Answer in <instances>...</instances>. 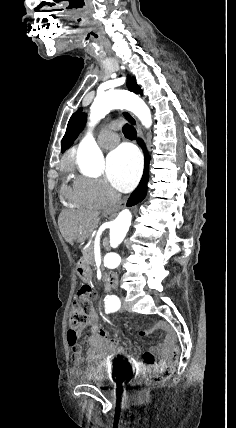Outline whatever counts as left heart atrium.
Wrapping results in <instances>:
<instances>
[{
  "label": "left heart atrium",
  "instance_id": "39dd6f15",
  "mask_svg": "<svg viewBox=\"0 0 236 428\" xmlns=\"http://www.w3.org/2000/svg\"><path fill=\"white\" fill-rule=\"evenodd\" d=\"M142 172L139 152L130 145H121L112 151L106 160V173L111 184L122 192L132 190Z\"/></svg>",
  "mask_w": 236,
  "mask_h": 428
}]
</instances>
